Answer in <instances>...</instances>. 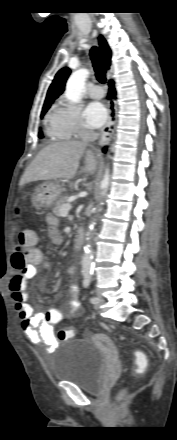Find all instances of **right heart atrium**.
<instances>
[{"label":"right heart atrium","instance_id":"1","mask_svg":"<svg viewBox=\"0 0 177 440\" xmlns=\"http://www.w3.org/2000/svg\"><path fill=\"white\" fill-rule=\"evenodd\" d=\"M53 111L58 127L66 138L76 137L88 131L81 113V107L78 104L61 97Z\"/></svg>","mask_w":177,"mask_h":440}]
</instances>
